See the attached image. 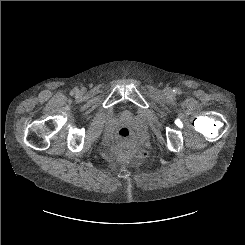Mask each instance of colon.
<instances>
[{"mask_svg": "<svg viewBox=\"0 0 245 245\" xmlns=\"http://www.w3.org/2000/svg\"><path fill=\"white\" fill-rule=\"evenodd\" d=\"M115 146L117 148L130 150L139 156L144 154L142 150L134 146L133 135L128 128H121L118 130L115 138Z\"/></svg>", "mask_w": 245, "mask_h": 245, "instance_id": "5ec220e1", "label": "colon"}]
</instances>
